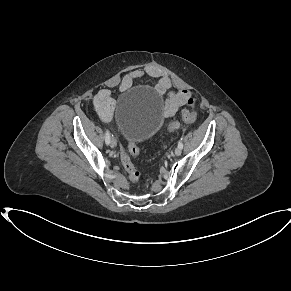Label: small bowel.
Listing matches in <instances>:
<instances>
[{
    "mask_svg": "<svg viewBox=\"0 0 291 291\" xmlns=\"http://www.w3.org/2000/svg\"><path fill=\"white\" fill-rule=\"evenodd\" d=\"M146 76L157 80L155 90L159 96H163L171 86L170 79L166 74L155 66H146L125 74L119 84V89L125 91L129 89L136 80L143 79ZM190 97V92L184 89L169 92L165 102L164 117H172L178 108L185 104ZM93 105L102 122L108 123L112 120L115 102L109 89H101L98 91L94 96Z\"/></svg>",
    "mask_w": 291,
    "mask_h": 291,
    "instance_id": "small-bowel-1",
    "label": "small bowel"
}]
</instances>
